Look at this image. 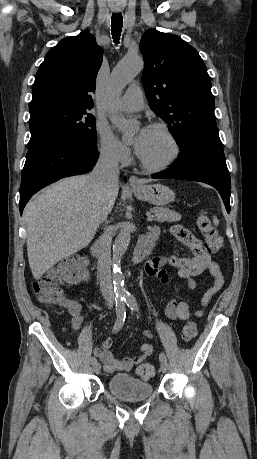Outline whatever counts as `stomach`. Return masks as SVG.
Masks as SVG:
<instances>
[{
    "label": "stomach",
    "instance_id": "1",
    "mask_svg": "<svg viewBox=\"0 0 257 459\" xmlns=\"http://www.w3.org/2000/svg\"><path fill=\"white\" fill-rule=\"evenodd\" d=\"M133 191L139 200L147 201L158 206L166 205L173 202L175 199V193L167 186L161 184L133 187Z\"/></svg>",
    "mask_w": 257,
    "mask_h": 459
}]
</instances>
